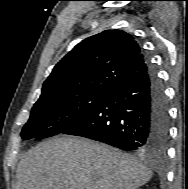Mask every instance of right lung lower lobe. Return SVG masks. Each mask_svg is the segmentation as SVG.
Returning <instances> with one entry per match:
<instances>
[{"label": "right lung lower lobe", "instance_id": "right-lung-lower-lobe-1", "mask_svg": "<svg viewBox=\"0 0 188 189\" xmlns=\"http://www.w3.org/2000/svg\"><path fill=\"white\" fill-rule=\"evenodd\" d=\"M147 73L105 96L80 122L64 134L82 136L123 150L164 153L169 141L166 96L146 59Z\"/></svg>", "mask_w": 188, "mask_h": 189}]
</instances>
